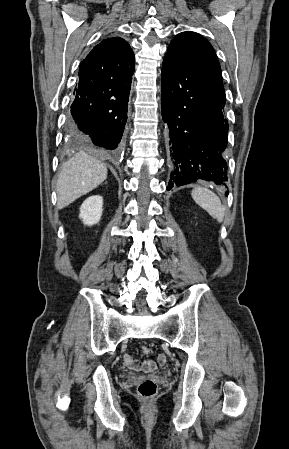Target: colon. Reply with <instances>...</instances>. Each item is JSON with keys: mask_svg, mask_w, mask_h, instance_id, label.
<instances>
[{"mask_svg": "<svg viewBox=\"0 0 289 449\" xmlns=\"http://www.w3.org/2000/svg\"><path fill=\"white\" fill-rule=\"evenodd\" d=\"M142 351L144 354H152L153 350L148 346H143ZM157 392V385L151 379H144L138 385V393L143 398H152Z\"/></svg>", "mask_w": 289, "mask_h": 449, "instance_id": "obj_1", "label": "colon"}]
</instances>
